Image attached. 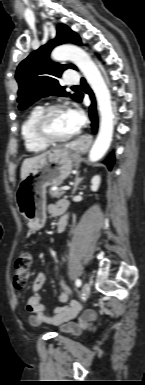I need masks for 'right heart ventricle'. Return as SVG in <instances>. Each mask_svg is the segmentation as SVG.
<instances>
[{"mask_svg": "<svg viewBox=\"0 0 145 385\" xmlns=\"http://www.w3.org/2000/svg\"><path fill=\"white\" fill-rule=\"evenodd\" d=\"M42 109L43 108L41 106H35L32 108L21 125L20 131L25 149L31 153L44 151L48 146V144L40 141L34 133V123Z\"/></svg>", "mask_w": 145, "mask_h": 385, "instance_id": "obj_1", "label": "right heart ventricle"}]
</instances>
